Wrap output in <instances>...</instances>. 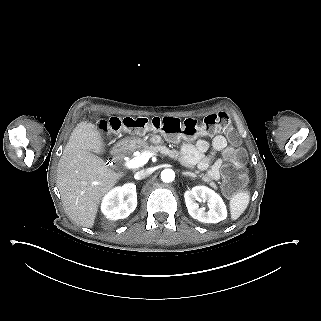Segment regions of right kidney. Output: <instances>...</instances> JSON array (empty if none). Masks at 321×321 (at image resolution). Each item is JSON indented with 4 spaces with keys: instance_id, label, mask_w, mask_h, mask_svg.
Wrapping results in <instances>:
<instances>
[{
    "instance_id": "ca27d5eb",
    "label": "right kidney",
    "mask_w": 321,
    "mask_h": 321,
    "mask_svg": "<svg viewBox=\"0 0 321 321\" xmlns=\"http://www.w3.org/2000/svg\"><path fill=\"white\" fill-rule=\"evenodd\" d=\"M137 207L136 185L126 183L109 191L103 198L101 211L109 220L124 219Z\"/></svg>"
}]
</instances>
